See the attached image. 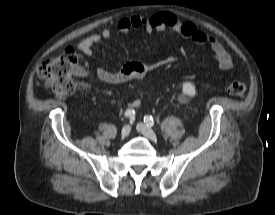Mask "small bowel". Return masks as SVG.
Wrapping results in <instances>:
<instances>
[{"instance_id": "c3829d8e", "label": "small bowel", "mask_w": 275, "mask_h": 215, "mask_svg": "<svg viewBox=\"0 0 275 215\" xmlns=\"http://www.w3.org/2000/svg\"><path fill=\"white\" fill-rule=\"evenodd\" d=\"M144 28L149 33L153 31H173L179 33L185 39L196 42L210 50L216 59L217 65L222 70L232 67V59L224 46L211 34L199 30L192 22H181L171 13H157L151 16H132L121 18L117 22V29L121 33H127L133 29ZM112 36L109 28H104L100 33H95L83 39L77 48L84 54L92 55L93 48L103 40ZM152 66L141 59L128 62L117 71H109L103 67H96L93 74L103 83L120 84L130 80H142L150 71ZM140 100H134L128 106L139 107Z\"/></svg>"}]
</instances>
